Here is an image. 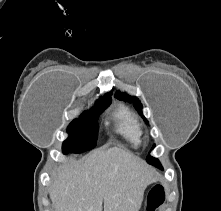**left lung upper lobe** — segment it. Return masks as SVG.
<instances>
[{"instance_id":"1","label":"left lung upper lobe","mask_w":221,"mask_h":211,"mask_svg":"<svg viewBox=\"0 0 221 211\" xmlns=\"http://www.w3.org/2000/svg\"><path fill=\"white\" fill-rule=\"evenodd\" d=\"M115 97L119 98V99H123L124 101H128V102H134V106L135 108L138 110V112L142 115V104L139 102V100L134 97V96H129L127 94L124 93H120V91H118L115 95ZM145 121L148 123V121L145 119ZM155 147V145L153 146V148ZM152 148V149H153ZM147 162L151 165H154L158 168L161 167V164L159 162L158 159L152 157V156H148L147 157Z\"/></svg>"}]
</instances>
